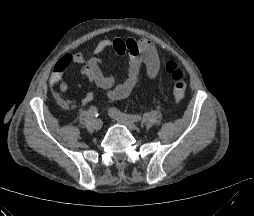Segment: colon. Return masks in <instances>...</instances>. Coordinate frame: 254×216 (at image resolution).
<instances>
[{
  "mask_svg": "<svg viewBox=\"0 0 254 216\" xmlns=\"http://www.w3.org/2000/svg\"><path fill=\"white\" fill-rule=\"evenodd\" d=\"M58 64V63H57ZM65 67L66 65L62 63ZM165 69L173 81L172 95L175 102L180 103L186 95V82L182 71L178 68L177 64L173 61L165 63Z\"/></svg>",
  "mask_w": 254,
  "mask_h": 216,
  "instance_id": "5ec220e1",
  "label": "colon"
}]
</instances>
